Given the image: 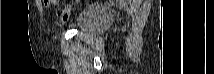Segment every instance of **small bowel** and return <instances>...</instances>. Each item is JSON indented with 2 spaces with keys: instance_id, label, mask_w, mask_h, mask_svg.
<instances>
[{
  "instance_id": "c3829d8e",
  "label": "small bowel",
  "mask_w": 214,
  "mask_h": 74,
  "mask_svg": "<svg viewBox=\"0 0 214 74\" xmlns=\"http://www.w3.org/2000/svg\"><path fill=\"white\" fill-rule=\"evenodd\" d=\"M52 3H56L53 2V1H43V5L44 7L46 8H49L51 6ZM70 9L71 7L70 6H67L65 7L64 9L58 11L56 13V17H52V22L55 24V25H58V26H61L63 25L69 18V15H70Z\"/></svg>"
}]
</instances>
